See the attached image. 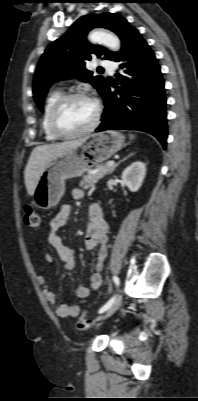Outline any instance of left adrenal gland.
I'll use <instances>...</instances> for the list:
<instances>
[{
    "label": "left adrenal gland",
    "instance_id": "1",
    "mask_svg": "<svg viewBox=\"0 0 198 401\" xmlns=\"http://www.w3.org/2000/svg\"><path fill=\"white\" fill-rule=\"evenodd\" d=\"M132 155H134V153L129 154V155L126 156L124 159H122L121 161H119V162L112 168V170L110 171L109 174L113 173V171L115 170V168H116L121 162L125 161L126 159H128V158L131 157Z\"/></svg>",
    "mask_w": 198,
    "mask_h": 401
}]
</instances>
